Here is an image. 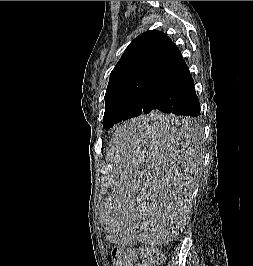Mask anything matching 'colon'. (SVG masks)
Wrapping results in <instances>:
<instances>
[{
	"label": "colon",
	"mask_w": 253,
	"mask_h": 266,
	"mask_svg": "<svg viewBox=\"0 0 253 266\" xmlns=\"http://www.w3.org/2000/svg\"><path fill=\"white\" fill-rule=\"evenodd\" d=\"M137 256L140 257L138 266H157L163 261L162 255L155 248H115L112 252L116 266H129Z\"/></svg>",
	"instance_id": "obj_1"
}]
</instances>
